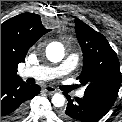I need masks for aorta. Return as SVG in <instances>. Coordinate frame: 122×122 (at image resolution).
Returning <instances> with one entry per match:
<instances>
[{"label": "aorta", "mask_w": 122, "mask_h": 122, "mask_svg": "<svg viewBox=\"0 0 122 122\" xmlns=\"http://www.w3.org/2000/svg\"><path fill=\"white\" fill-rule=\"evenodd\" d=\"M64 55V46L59 42H52L46 48V56L51 62L61 61ZM52 104L55 107H62L65 104V97L60 93L54 94L52 97Z\"/></svg>", "instance_id": "obj_1"}]
</instances>
